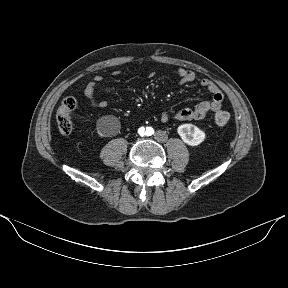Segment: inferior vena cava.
Here are the masks:
<instances>
[{
    "label": "inferior vena cava",
    "mask_w": 288,
    "mask_h": 288,
    "mask_svg": "<svg viewBox=\"0 0 288 288\" xmlns=\"http://www.w3.org/2000/svg\"><path fill=\"white\" fill-rule=\"evenodd\" d=\"M154 140H155V142L158 143V144H163V143H165L166 140H167V135H166V133L163 132V131H158V132H156L155 135H154Z\"/></svg>",
    "instance_id": "obj_1"
}]
</instances>
